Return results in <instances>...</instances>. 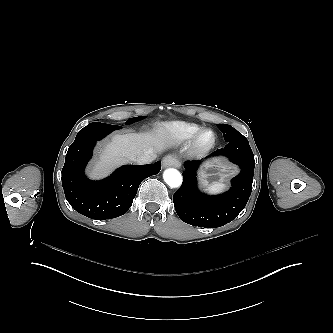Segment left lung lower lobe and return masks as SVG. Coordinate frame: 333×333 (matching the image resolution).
I'll return each instance as SVG.
<instances>
[{"label":"left lung lower lobe","instance_id":"left-lung-lower-lobe-1","mask_svg":"<svg viewBox=\"0 0 333 333\" xmlns=\"http://www.w3.org/2000/svg\"><path fill=\"white\" fill-rule=\"evenodd\" d=\"M224 148L210 156L223 155L237 164L241 171L234 177L226 193L209 196L197 189L196 171L201 161H186L183 183L173 195L180 219L198 227L216 228L231 222L246 206L253 183L255 160L248 140L242 134L226 141Z\"/></svg>","mask_w":333,"mask_h":333}]
</instances>
